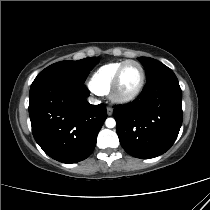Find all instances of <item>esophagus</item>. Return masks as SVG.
<instances>
[{"label": "esophagus", "instance_id": "obj_1", "mask_svg": "<svg viewBox=\"0 0 210 210\" xmlns=\"http://www.w3.org/2000/svg\"><path fill=\"white\" fill-rule=\"evenodd\" d=\"M106 110H107L108 116H111L113 114V108L112 107L108 106Z\"/></svg>", "mask_w": 210, "mask_h": 210}]
</instances>
